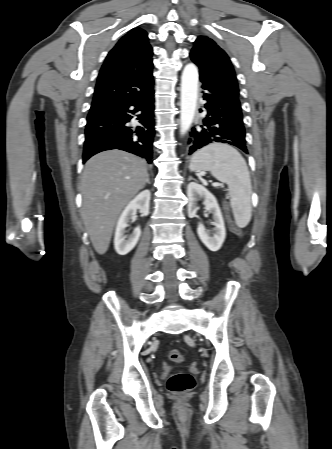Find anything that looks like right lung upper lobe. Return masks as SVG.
<instances>
[{
	"instance_id": "obj_1",
	"label": "right lung upper lobe",
	"mask_w": 332,
	"mask_h": 449,
	"mask_svg": "<svg viewBox=\"0 0 332 449\" xmlns=\"http://www.w3.org/2000/svg\"><path fill=\"white\" fill-rule=\"evenodd\" d=\"M152 54L144 30L135 28L123 36L101 67L91 109L149 93L154 84Z\"/></svg>"
}]
</instances>
